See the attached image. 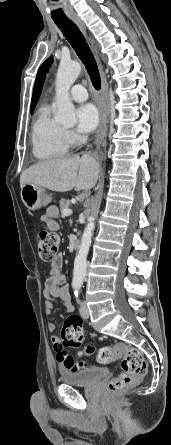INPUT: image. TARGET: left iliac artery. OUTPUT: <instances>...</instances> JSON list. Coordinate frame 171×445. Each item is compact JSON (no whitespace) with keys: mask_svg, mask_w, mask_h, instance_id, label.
Returning <instances> with one entry per match:
<instances>
[{"mask_svg":"<svg viewBox=\"0 0 171 445\" xmlns=\"http://www.w3.org/2000/svg\"><path fill=\"white\" fill-rule=\"evenodd\" d=\"M74 294H75V297L77 299V302H80L79 298H78V296H79V287L75 289Z\"/></svg>","mask_w":171,"mask_h":445,"instance_id":"obj_1","label":"left iliac artery"}]
</instances>
